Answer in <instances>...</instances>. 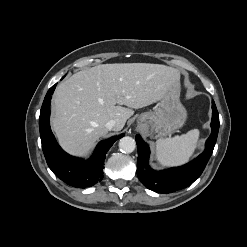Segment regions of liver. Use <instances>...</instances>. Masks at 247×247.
Masks as SVG:
<instances>
[{
	"label": "liver",
	"instance_id": "obj_1",
	"mask_svg": "<svg viewBox=\"0 0 247 247\" xmlns=\"http://www.w3.org/2000/svg\"><path fill=\"white\" fill-rule=\"evenodd\" d=\"M178 84V70L160 64H101L79 71L54 92L52 129L66 152L86 156L108 133L109 120L121 130L132 109L155 103Z\"/></svg>",
	"mask_w": 247,
	"mask_h": 247
}]
</instances>
